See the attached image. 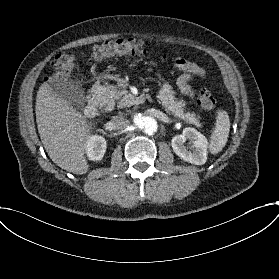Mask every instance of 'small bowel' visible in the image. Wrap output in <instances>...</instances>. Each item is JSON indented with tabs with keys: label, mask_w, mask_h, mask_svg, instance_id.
I'll return each mask as SVG.
<instances>
[{
	"label": "small bowel",
	"mask_w": 279,
	"mask_h": 279,
	"mask_svg": "<svg viewBox=\"0 0 279 279\" xmlns=\"http://www.w3.org/2000/svg\"><path fill=\"white\" fill-rule=\"evenodd\" d=\"M175 67L182 72L177 80L178 88L182 93L192 95L193 88L190 82L195 77H204V69L196 63L188 61L184 58H177L175 60Z\"/></svg>",
	"instance_id": "c3829d8e"
}]
</instances>
